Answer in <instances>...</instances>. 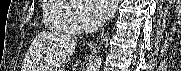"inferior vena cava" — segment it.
Returning <instances> with one entry per match:
<instances>
[{
	"label": "inferior vena cava",
	"mask_w": 181,
	"mask_h": 71,
	"mask_svg": "<svg viewBox=\"0 0 181 71\" xmlns=\"http://www.w3.org/2000/svg\"><path fill=\"white\" fill-rule=\"evenodd\" d=\"M101 27V24L95 22L94 20H89L85 27L86 33H94Z\"/></svg>",
	"instance_id": "1"
}]
</instances>
